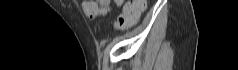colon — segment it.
<instances>
[{
  "label": "colon",
  "instance_id": "obj_1",
  "mask_svg": "<svg viewBox=\"0 0 238 70\" xmlns=\"http://www.w3.org/2000/svg\"><path fill=\"white\" fill-rule=\"evenodd\" d=\"M89 3H91L93 0H87ZM84 2V1H83ZM122 0H115L113 2V8L111 9L113 12L116 10L114 7H121ZM146 0H132L127 1L123 14L119 17L117 26L121 29H127L132 27L138 20L140 13L145 9L146 7ZM105 10L99 9L93 5H89L86 9V16L89 18H96L98 15L104 13Z\"/></svg>",
  "mask_w": 238,
  "mask_h": 70
}]
</instances>
